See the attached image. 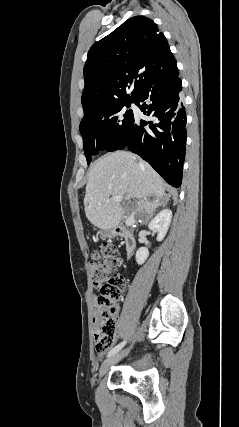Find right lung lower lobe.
Returning a JSON list of instances; mask_svg holds the SVG:
<instances>
[{"instance_id":"98d812e1","label":"right lung lower lobe","mask_w":239,"mask_h":427,"mask_svg":"<svg viewBox=\"0 0 239 427\" xmlns=\"http://www.w3.org/2000/svg\"><path fill=\"white\" fill-rule=\"evenodd\" d=\"M179 72L144 89L135 104L148 119L134 117L127 147L147 161L173 187H180L186 148V112ZM119 150V149H118Z\"/></svg>"}]
</instances>
